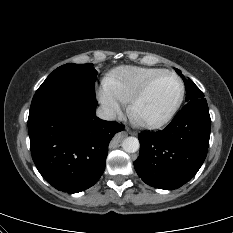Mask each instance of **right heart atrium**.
<instances>
[{
	"instance_id": "right-heart-atrium-1",
	"label": "right heart atrium",
	"mask_w": 233,
	"mask_h": 233,
	"mask_svg": "<svg viewBox=\"0 0 233 233\" xmlns=\"http://www.w3.org/2000/svg\"><path fill=\"white\" fill-rule=\"evenodd\" d=\"M97 97L108 115L115 117L122 111V104L104 86L97 91Z\"/></svg>"
}]
</instances>
